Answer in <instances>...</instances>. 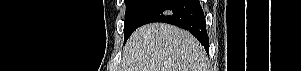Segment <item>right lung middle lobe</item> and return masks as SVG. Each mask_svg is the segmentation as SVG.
<instances>
[{"label":"right lung middle lobe","mask_w":301,"mask_h":71,"mask_svg":"<svg viewBox=\"0 0 301 71\" xmlns=\"http://www.w3.org/2000/svg\"><path fill=\"white\" fill-rule=\"evenodd\" d=\"M157 0H125L126 13L124 22L125 42L132 32L139 26L145 13Z\"/></svg>","instance_id":"right-lung-middle-lobe-1"}]
</instances>
